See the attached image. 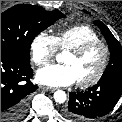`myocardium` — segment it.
<instances>
[{"label":"myocardium","mask_w":122,"mask_h":122,"mask_svg":"<svg viewBox=\"0 0 122 122\" xmlns=\"http://www.w3.org/2000/svg\"><path fill=\"white\" fill-rule=\"evenodd\" d=\"M96 47H100L103 50V58L101 65L97 70V72L91 78L84 81H77V85L81 88L91 87L101 80L109 64L110 48L105 42L98 40V41L87 42L83 45H80L76 48L69 50V53H72L77 57H81L85 55L88 51Z\"/></svg>","instance_id":"f54148a6"}]
</instances>
